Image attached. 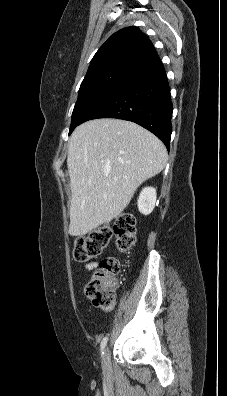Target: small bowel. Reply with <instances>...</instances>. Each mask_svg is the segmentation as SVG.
I'll list each match as a JSON object with an SVG mask.
<instances>
[{"label": "small bowel", "instance_id": "c3829d8e", "mask_svg": "<svg viewBox=\"0 0 227 396\" xmlns=\"http://www.w3.org/2000/svg\"><path fill=\"white\" fill-rule=\"evenodd\" d=\"M95 263H89L88 265H87V269H92V268H94L95 267Z\"/></svg>", "mask_w": 227, "mask_h": 396}]
</instances>
